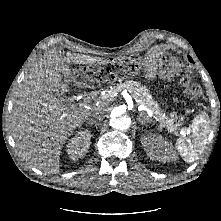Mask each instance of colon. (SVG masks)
<instances>
[{
  "label": "colon",
  "instance_id": "5ec220e1",
  "mask_svg": "<svg viewBox=\"0 0 221 221\" xmlns=\"http://www.w3.org/2000/svg\"><path fill=\"white\" fill-rule=\"evenodd\" d=\"M146 64L143 61H139L134 70L125 69L124 73H133L140 68H146ZM159 73L162 76L169 75L171 73V65L168 60H164L158 66ZM118 72V68L112 64H106L102 66H88L74 70V78L78 84L85 82H100L112 78ZM182 84L186 88V93L191 98H198L201 94L200 87L193 83L188 76H182Z\"/></svg>",
  "mask_w": 221,
  "mask_h": 221
}]
</instances>
